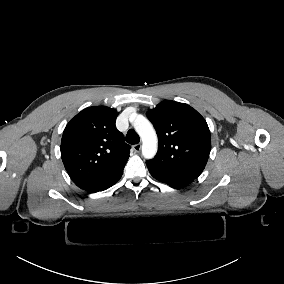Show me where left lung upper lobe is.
I'll use <instances>...</instances> for the list:
<instances>
[{
	"label": "left lung upper lobe",
	"instance_id": "5c2ea615",
	"mask_svg": "<svg viewBox=\"0 0 284 284\" xmlns=\"http://www.w3.org/2000/svg\"><path fill=\"white\" fill-rule=\"evenodd\" d=\"M158 134L157 155L146 162L156 169L196 179L204 170L211 150L205 119L191 106L163 101L147 111Z\"/></svg>",
	"mask_w": 284,
	"mask_h": 284
}]
</instances>
